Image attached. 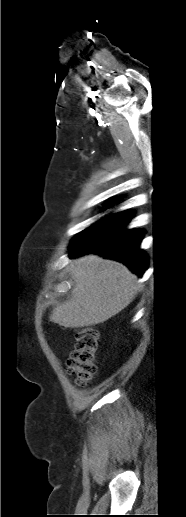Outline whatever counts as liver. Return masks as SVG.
I'll return each mask as SVG.
<instances>
[{
    "mask_svg": "<svg viewBox=\"0 0 186 517\" xmlns=\"http://www.w3.org/2000/svg\"><path fill=\"white\" fill-rule=\"evenodd\" d=\"M70 272L71 295L49 317L65 328L103 323L127 307L141 287L125 265L93 254L75 259Z\"/></svg>",
    "mask_w": 186,
    "mask_h": 517,
    "instance_id": "1",
    "label": "liver"
}]
</instances>
